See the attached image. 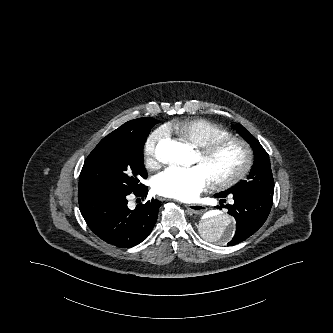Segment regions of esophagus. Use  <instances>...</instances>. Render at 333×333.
Returning <instances> with one entry per match:
<instances>
[{
    "label": "esophagus",
    "mask_w": 333,
    "mask_h": 333,
    "mask_svg": "<svg viewBox=\"0 0 333 333\" xmlns=\"http://www.w3.org/2000/svg\"><path fill=\"white\" fill-rule=\"evenodd\" d=\"M191 213L196 215L203 214L206 211V207L201 204H185L184 205Z\"/></svg>",
    "instance_id": "1"
}]
</instances>
